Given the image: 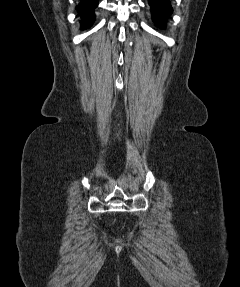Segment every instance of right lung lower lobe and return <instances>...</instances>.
Masks as SVG:
<instances>
[{
  "label": "right lung lower lobe",
  "mask_w": 240,
  "mask_h": 287,
  "mask_svg": "<svg viewBox=\"0 0 240 287\" xmlns=\"http://www.w3.org/2000/svg\"><path fill=\"white\" fill-rule=\"evenodd\" d=\"M97 4V0H81L79 5L76 7L80 15L83 16L82 29L89 28L94 22V9Z\"/></svg>",
  "instance_id": "obj_1"
}]
</instances>
